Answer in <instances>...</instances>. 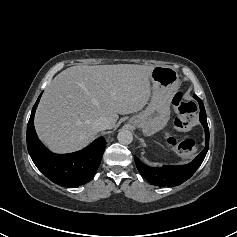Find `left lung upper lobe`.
<instances>
[{"mask_svg": "<svg viewBox=\"0 0 237 237\" xmlns=\"http://www.w3.org/2000/svg\"><path fill=\"white\" fill-rule=\"evenodd\" d=\"M200 99V98H199ZM197 101H198V103H199V106L201 105V104H203V102L202 101H199L198 99H196ZM201 100V99H200Z\"/></svg>", "mask_w": 237, "mask_h": 237, "instance_id": "obj_1", "label": "left lung upper lobe"}]
</instances>
